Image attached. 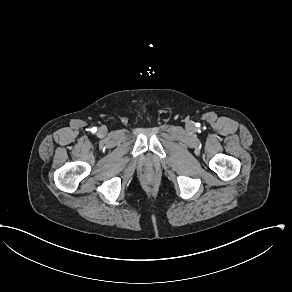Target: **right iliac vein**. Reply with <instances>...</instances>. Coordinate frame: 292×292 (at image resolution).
<instances>
[{
	"instance_id": "1",
	"label": "right iliac vein",
	"mask_w": 292,
	"mask_h": 292,
	"mask_svg": "<svg viewBox=\"0 0 292 292\" xmlns=\"http://www.w3.org/2000/svg\"><path fill=\"white\" fill-rule=\"evenodd\" d=\"M107 133V129L105 127H100L99 130H98V134L100 136H105Z\"/></svg>"
}]
</instances>
